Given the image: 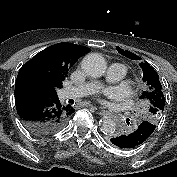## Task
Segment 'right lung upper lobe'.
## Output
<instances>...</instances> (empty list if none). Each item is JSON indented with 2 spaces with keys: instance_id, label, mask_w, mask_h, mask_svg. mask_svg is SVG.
I'll list each match as a JSON object with an SVG mask.
<instances>
[{
  "instance_id": "obj_1",
  "label": "right lung upper lobe",
  "mask_w": 177,
  "mask_h": 177,
  "mask_svg": "<svg viewBox=\"0 0 177 177\" xmlns=\"http://www.w3.org/2000/svg\"><path fill=\"white\" fill-rule=\"evenodd\" d=\"M89 50L85 46L62 42L40 51L20 68L15 91L29 89L57 95L56 90L62 88L70 67Z\"/></svg>"
}]
</instances>
